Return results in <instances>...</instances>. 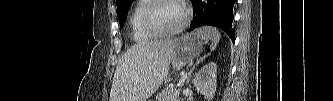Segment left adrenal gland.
<instances>
[{
	"label": "left adrenal gland",
	"mask_w": 333,
	"mask_h": 101,
	"mask_svg": "<svg viewBox=\"0 0 333 101\" xmlns=\"http://www.w3.org/2000/svg\"><path fill=\"white\" fill-rule=\"evenodd\" d=\"M209 56V54L207 55H204L203 57L199 58L196 63L192 66V68L190 69L189 73H188V76L186 78V84H188L190 82V78H191V75H192V72L194 71L195 67L201 63L202 61H204L207 57Z\"/></svg>",
	"instance_id": "1"
}]
</instances>
